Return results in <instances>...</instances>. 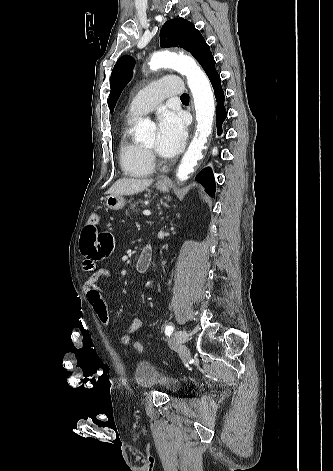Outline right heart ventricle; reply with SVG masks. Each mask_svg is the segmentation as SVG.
<instances>
[{"label":"right heart ventricle","instance_id":"obj_1","mask_svg":"<svg viewBox=\"0 0 333 471\" xmlns=\"http://www.w3.org/2000/svg\"><path fill=\"white\" fill-rule=\"evenodd\" d=\"M127 125L122 129L119 138V161L123 171L132 177H144L150 175L154 170V163L145 147L135 141L129 132Z\"/></svg>","mask_w":333,"mask_h":471}]
</instances>
